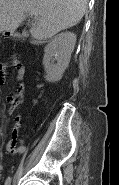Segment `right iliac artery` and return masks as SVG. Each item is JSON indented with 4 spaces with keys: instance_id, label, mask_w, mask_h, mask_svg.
<instances>
[{
    "instance_id": "obj_1",
    "label": "right iliac artery",
    "mask_w": 119,
    "mask_h": 185,
    "mask_svg": "<svg viewBox=\"0 0 119 185\" xmlns=\"http://www.w3.org/2000/svg\"><path fill=\"white\" fill-rule=\"evenodd\" d=\"M10 182H11V178H8L5 185H10Z\"/></svg>"
}]
</instances>
